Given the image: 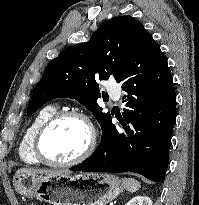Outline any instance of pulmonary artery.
<instances>
[{"instance_id":"1","label":"pulmonary artery","mask_w":199,"mask_h":205,"mask_svg":"<svg viewBox=\"0 0 199 205\" xmlns=\"http://www.w3.org/2000/svg\"><path fill=\"white\" fill-rule=\"evenodd\" d=\"M108 92L110 96L116 101L119 99L121 94L120 88H108Z\"/></svg>"}]
</instances>
